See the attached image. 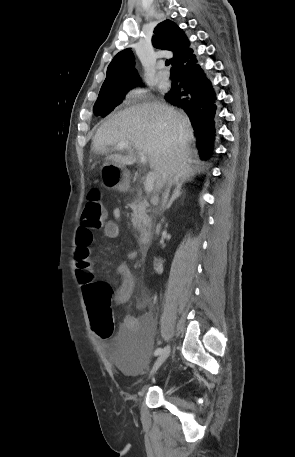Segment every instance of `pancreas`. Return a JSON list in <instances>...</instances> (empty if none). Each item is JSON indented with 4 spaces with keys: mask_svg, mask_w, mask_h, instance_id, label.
Segmentation results:
<instances>
[{
    "mask_svg": "<svg viewBox=\"0 0 295 457\" xmlns=\"http://www.w3.org/2000/svg\"><path fill=\"white\" fill-rule=\"evenodd\" d=\"M130 207L133 210L131 221L135 229H140L142 224L150 223V218L147 215L148 203L146 200L134 201Z\"/></svg>",
    "mask_w": 295,
    "mask_h": 457,
    "instance_id": "pancreas-1",
    "label": "pancreas"
}]
</instances>
